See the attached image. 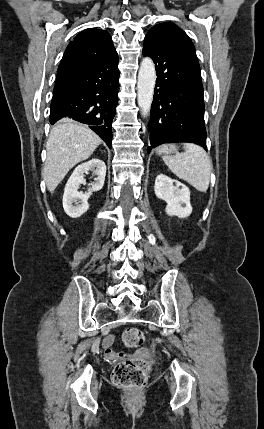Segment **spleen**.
<instances>
[{
	"label": "spleen",
	"mask_w": 264,
	"mask_h": 429,
	"mask_svg": "<svg viewBox=\"0 0 264 429\" xmlns=\"http://www.w3.org/2000/svg\"><path fill=\"white\" fill-rule=\"evenodd\" d=\"M185 152L163 156V161L178 178L196 190L206 192L210 183L212 164L205 150L192 143H184Z\"/></svg>",
	"instance_id": "obj_1"
}]
</instances>
